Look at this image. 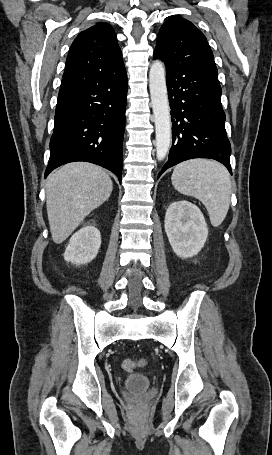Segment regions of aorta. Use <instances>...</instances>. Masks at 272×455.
<instances>
[{
    "label": "aorta",
    "mask_w": 272,
    "mask_h": 455,
    "mask_svg": "<svg viewBox=\"0 0 272 455\" xmlns=\"http://www.w3.org/2000/svg\"><path fill=\"white\" fill-rule=\"evenodd\" d=\"M149 88L155 122L156 157L159 161H162L170 147L171 120L165 67L160 60L154 61L150 67Z\"/></svg>",
    "instance_id": "aorta-1"
}]
</instances>
